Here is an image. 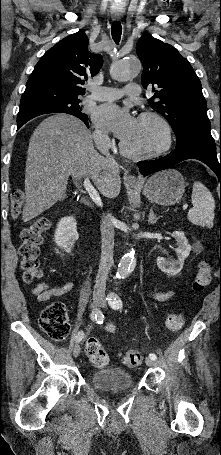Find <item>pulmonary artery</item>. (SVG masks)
<instances>
[{
    "label": "pulmonary artery",
    "mask_w": 221,
    "mask_h": 455,
    "mask_svg": "<svg viewBox=\"0 0 221 455\" xmlns=\"http://www.w3.org/2000/svg\"><path fill=\"white\" fill-rule=\"evenodd\" d=\"M140 87L136 83H130L123 89L112 87H90V93L86 96L89 101H113L123 95H138Z\"/></svg>",
    "instance_id": "pulmonary-artery-1"
}]
</instances>
